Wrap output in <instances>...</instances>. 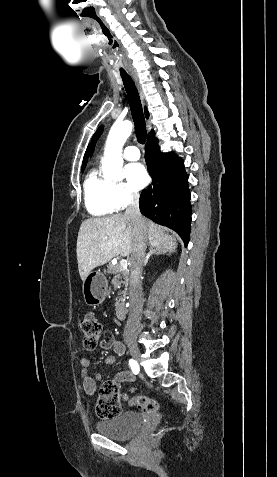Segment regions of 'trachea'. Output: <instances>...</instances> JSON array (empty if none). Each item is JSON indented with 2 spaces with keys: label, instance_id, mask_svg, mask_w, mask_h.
<instances>
[{
  "label": "trachea",
  "instance_id": "3493384b",
  "mask_svg": "<svg viewBox=\"0 0 277 477\" xmlns=\"http://www.w3.org/2000/svg\"><path fill=\"white\" fill-rule=\"evenodd\" d=\"M120 75L128 96L137 140L139 143L144 144L146 141L147 131L138 90L131 76L126 71H120Z\"/></svg>",
  "mask_w": 277,
  "mask_h": 477
}]
</instances>
